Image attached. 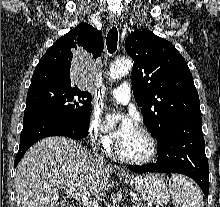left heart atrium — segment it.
I'll list each match as a JSON object with an SVG mask.
<instances>
[{
    "label": "left heart atrium",
    "instance_id": "left-heart-atrium-1",
    "mask_svg": "<svg viewBox=\"0 0 220 207\" xmlns=\"http://www.w3.org/2000/svg\"><path fill=\"white\" fill-rule=\"evenodd\" d=\"M108 127L112 128L117 123L119 126L114 130V137L120 141L130 135L136 128L131 117L120 114H109L106 117Z\"/></svg>",
    "mask_w": 220,
    "mask_h": 207
}]
</instances>
